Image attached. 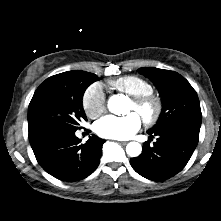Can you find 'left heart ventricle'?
Listing matches in <instances>:
<instances>
[{
  "instance_id": "obj_1",
  "label": "left heart ventricle",
  "mask_w": 221,
  "mask_h": 221,
  "mask_svg": "<svg viewBox=\"0 0 221 221\" xmlns=\"http://www.w3.org/2000/svg\"><path fill=\"white\" fill-rule=\"evenodd\" d=\"M130 110H133V111H136L135 109H134V107H133V104L131 103L130 104V108H129Z\"/></svg>"
}]
</instances>
